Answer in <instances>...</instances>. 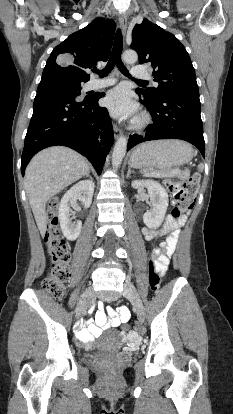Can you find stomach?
<instances>
[{
    "instance_id": "1",
    "label": "stomach",
    "mask_w": 233,
    "mask_h": 414,
    "mask_svg": "<svg viewBox=\"0 0 233 414\" xmlns=\"http://www.w3.org/2000/svg\"><path fill=\"white\" fill-rule=\"evenodd\" d=\"M193 158L192 147L179 140H161L138 146L129 157V165L135 168H149L170 171Z\"/></svg>"
}]
</instances>
